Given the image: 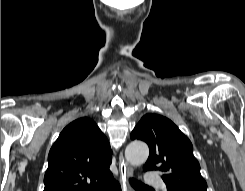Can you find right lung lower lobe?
Instances as JSON below:
<instances>
[{"label": "right lung lower lobe", "mask_w": 245, "mask_h": 191, "mask_svg": "<svg viewBox=\"0 0 245 191\" xmlns=\"http://www.w3.org/2000/svg\"><path fill=\"white\" fill-rule=\"evenodd\" d=\"M96 191H121L119 183L114 179L104 186H100Z\"/></svg>", "instance_id": "obj_1"}]
</instances>
